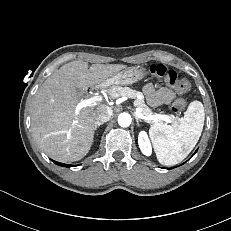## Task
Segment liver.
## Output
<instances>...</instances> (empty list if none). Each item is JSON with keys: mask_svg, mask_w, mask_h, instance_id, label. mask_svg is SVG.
I'll list each match as a JSON object with an SVG mask.
<instances>
[{"mask_svg": "<svg viewBox=\"0 0 231 231\" xmlns=\"http://www.w3.org/2000/svg\"><path fill=\"white\" fill-rule=\"evenodd\" d=\"M122 64H92L72 61L52 73L36 92L30 115L32 134L39 147L51 158L62 162L78 161L89 152L96 123L97 106L79 109L77 88L103 86L124 69Z\"/></svg>", "mask_w": 231, "mask_h": 231, "instance_id": "1", "label": "liver"}]
</instances>
